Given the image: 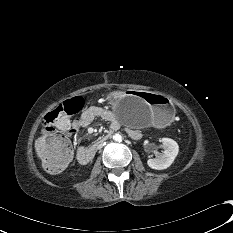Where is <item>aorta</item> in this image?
I'll list each match as a JSON object with an SVG mask.
<instances>
[{"label":"aorta","instance_id":"762f6f07","mask_svg":"<svg viewBox=\"0 0 233 233\" xmlns=\"http://www.w3.org/2000/svg\"><path fill=\"white\" fill-rule=\"evenodd\" d=\"M113 139L115 141H121L122 140V136L119 133H116V134H114Z\"/></svg>","mask_w":233,"mask_h":233}]
</instances>
